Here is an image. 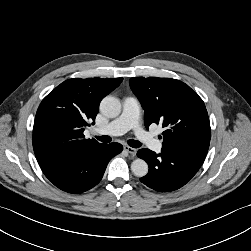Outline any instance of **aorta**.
<instances>
[{
	"mask_svg": "<svg viewBox=\"0 0 251 251\" xmlns=\"http://www.w3.org/2000/svg\"><path fill=\"white\" fill-rule=\"evenodd\" d=\"M100 111L108 118H115L121 112V103L117 98L107 96L100 103ZM131 170L135 176L144 177L148 173V165L143 159L137 158L131 163Z\"/></svg>",
	"mask_w": 251,
	"mask_h": 251,
	"instance_id": "1",
	"label": "aorta"
}]
</instances>
